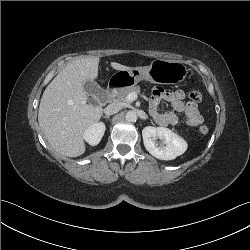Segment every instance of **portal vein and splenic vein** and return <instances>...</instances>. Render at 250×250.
Wrapping results in <instances>:
<instances>
[{
  "instance_id": "obj_1",
  "label": "portal vein and splenic vein",
  "mask_w": 250,
  "mask_h": 250,
  "mask_svg": "<svg viewBox=\"0 0 250 250\" xmlns=\"http://www.w3.org/2000/svg\"><path fill=\"white\" fill-rule=\"evenodd\" d=\"M137 98H138V95H137V93H135V92H131V93H129L128 96H127V100H128V101H134V100H136Z\"/></svg>"
}]
</instances>
